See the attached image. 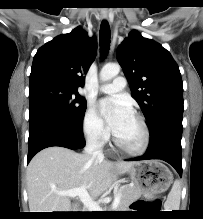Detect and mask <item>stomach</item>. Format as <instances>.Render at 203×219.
Here are the masks:
<instances>
[{
	"instance_id": "0dacf381",
	"label": "stomach",
	"mask_w": 203,
	"mask_h": 219,
	"mask_svg": "<svg viewBox=\"0 0 203 219\" xmlns=\"http://www.w3.org/2000/svg\"><path fill=\"white\" fill-rule=\"evenodd\" d=\"M128 173L141 195L147 198L165 192L173 181L170 170L157 160L135 162Z\"/></svg>"
}]
</instances>
